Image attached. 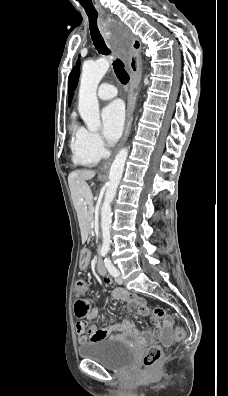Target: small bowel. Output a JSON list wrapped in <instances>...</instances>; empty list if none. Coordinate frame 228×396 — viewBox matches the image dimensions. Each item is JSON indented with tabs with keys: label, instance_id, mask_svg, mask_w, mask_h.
<instances>
[{
	"label": "small bowel",
	"instance_id": "1",
	"mask_svg": "<svg viewBox=\"0 0 228 396\" xmlns=\"http://www.w3.org/2000/svg\"><path fill=\"white\" fill-rule=\"evenodd\" d=\"M90 254L84 251L81 256V267L86 269L89 265ZM104 282L106 285L113 283L111 277L105 276ZM110 297L112 300H121L126 302L127 307L131 311H137L140 314L147 315L148 308L144 300L129 291L122 288H115ZM99 315V309L94 308L88 312L87 318L93 319ZM171 325L170 319H166L164 324H157L154 329L150 332L139 335L136 328L128 320H123L120 324L110 325L104 328H97L96 325H91L88 329H80L77 327L78 341L80 344L96 342L111 338H126L135 339L139 338L141 342H157L164 338H167L169 327Z\"/></svg>",
	"mask_w": 228,
	"mask_h": 396
}]
</instances>
